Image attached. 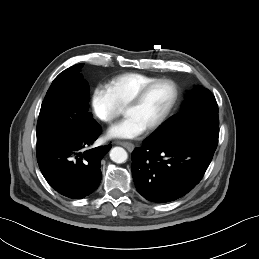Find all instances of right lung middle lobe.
<instances>
[{
	"label": "right lung middle lobe",
	"instance_id": "obj_1",
	"mask_svg": "<svg viewBox=\"0 0 259 259\" xmlns=\"http://www.w3.org/2000/svg\"><path fill=\"white\" fill-rule=\"evenodd\" d=\"M83 65L64 70L49 87L38 118L37 145L52 134L74 132L95 121L87 111L89 88L80 73Z\"/></svg>",
	"mask_w": 259,
	"mask_h": 259
}]
</instances>
